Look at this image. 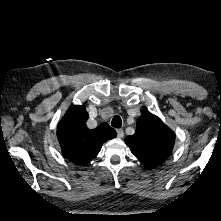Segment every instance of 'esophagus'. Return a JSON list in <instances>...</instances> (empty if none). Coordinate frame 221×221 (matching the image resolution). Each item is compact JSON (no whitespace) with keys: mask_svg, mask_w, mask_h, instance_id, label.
Here are the masks:
<instances>
[{"mask_svg":"<svg viewBox=\"0 0 221 221\" xmlns=\"http://www.w3.org/2000/svg\"><path fill=\"white\" fill-rule=\"evenodd\" d=\"M123 136H124L123 130L122 129H117V137L118 138H123Z\"/></svg>","mask_w":221,"mask_h":221,"instance_id":"esophagus-1","label":"esophagus"}]
</instances>
